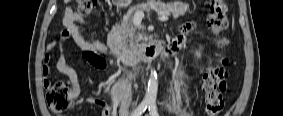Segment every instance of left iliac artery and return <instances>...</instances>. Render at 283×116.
<instances>
[{
    "label": "left iliac artery",
    "instance_id": "44dca946",
    "mask_svg": "<svg viewBox=\"0 0 283 116\" xmlns=\"http://www.w3.org/2000/svg\"><path fill=\"white\" fill-rule=\"evenodd\" d=\"M149 114L151 116H159L158 111H157V106L155 102H151L149 104Z\"/></svg>",
    "mask_w": 283,
    "mask_h": 116
}]
</instances>
